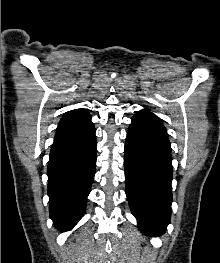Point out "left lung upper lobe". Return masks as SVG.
<instances>
[{"mask_svg": "<svg viewBox=\"0 0 220 263\" xmlns=\"http://www.w3.org/2000/svg\"><path fill=\"white\" fill-rule=\"evenodd\" d=\"M134 117L142 118V119L147 120V121H149V122H151L157 126L164 128L161 120L156 115H154L153 113H151L149 111H146V110L138 111L136 113V115H134Z\"/></svg>", "mask_w": 220, "mask_h": 263, "instance_id": "obj_1", "label": "left lung upper lobe"}]
</instances>
